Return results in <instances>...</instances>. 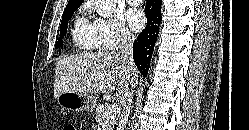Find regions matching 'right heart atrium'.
<instances>
[{"instance_id": "1", "label": "right heart atrium", "mask_w": 249, "mask_h": 130, "mask_svg": "<svg viewBox=\"0 0 249 130\" xmlns=\"http://www.w3.org/2000/svg\"><path fill=\"white\" fill-rule=\"evenodd\" d=\"M93 26L102 50H117L131 44L134 40V35L119 15L98 17L94 20Z\"/></svg>"}]
</instances>
